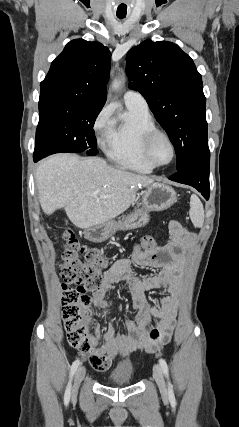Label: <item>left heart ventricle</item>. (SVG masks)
<instances>
[{
  "instance_id": "obj_1",
  "label": "left heart ventricle",
  "mask_w": 239,
  "mask_h": 427,
  "mask_svg": "<svg viewBox=\"0 0 239 427\" xmlns=\"http://www.w3.org/2000/svg\"><path fill=\"white\" fill-rule=\"evenodd\" d=\"M153 160L159 164L168 162L171 158V148L164 138H158L151 150Z\"/></svg>"
}]
</instances>
